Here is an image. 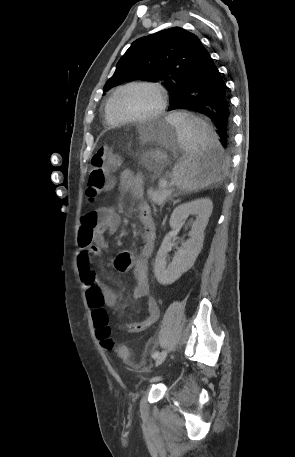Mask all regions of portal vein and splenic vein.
<instances>
[{
	"mask_svg": "<svg viewBox=\"0 0 295 457\" xmlns=\"http://www.w3.org/2000/svg\"><path fill=\"white\" fill-rule=\"evenodd\" d=\"M159 184L162 185V186H166L167 185V181L165 179H161Z\"/></svg>",
	"mask_w": 295,
	"mask_h": 457,
	"instance_id": "1",
	"label": "portal vein and splenic vein"
}]
</instances>
